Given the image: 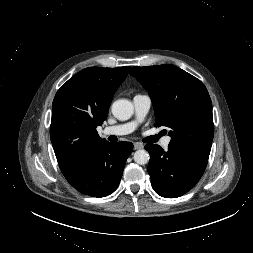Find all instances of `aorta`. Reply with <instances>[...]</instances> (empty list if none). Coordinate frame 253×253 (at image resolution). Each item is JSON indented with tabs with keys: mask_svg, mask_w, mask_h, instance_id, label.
I'll return each mask as SVG.
<instances>
[{
	"mask_svg": "<svg viewBox=\"0 0 253 253\" xmlns=\"http://www.w3.org/2000/svg\"><path fill=\"white\" fill-rule=\"evenodd\" d=\"M111 111L116 119L125 121L132 116L134 107L129 100L119 99L112 104ZM133 158L137 164L145 165L149 161V153L144 149H139L134 153Z\"/></svg>",
	"mask_w": 253,
	"mask_h": 253,
	"instance_id": "obj_1",
	"label": "aorta"
}]
</instances>
